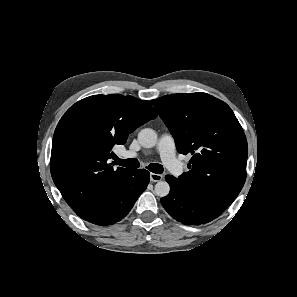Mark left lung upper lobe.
I'll list each match as a JSON object with an SVG mask.
<instances>
[{"instance_id": "5c2ea615", "label": "left lung upper lobe", "mask_w": 297, "mask_h": 297, "mask_svg": "<svg viewBox=\"0 0 297 297\" xmlns=\"http://www.w3.org/2000/svg\"><path fill=\"white\" fill-rule=\"evenodd\" d=\"M182 154L189 172L177 181L219 214L236 199L246 180L248 147L231 108L206 93L171 94L151 100Z\"/></svg>"}]
</instances>
